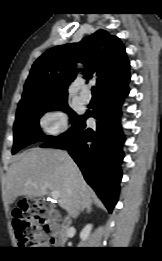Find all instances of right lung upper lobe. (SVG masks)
Segmentation results:
<instances>
[{"instance_id":"right-lung-upper-lobe-1","label":"right lung upper lobe","mask_w":162,"mask_h":261,"mask_svg":"<svg viewBox=\"0 0 162 261\" xmlns=\"http://www.w3.org/2000/svg\"><path fill=\"white\" fill-rule=\"evenodd\" d=\"M77 62L85 66V79L98 77L100 94L119 89L130 80V62L123 43L98 30L79 45L56 46L41 55L32 66L21 101L34 96H67L68 86L76 78Z\"/></svg>"}]
</instances>
